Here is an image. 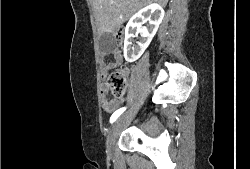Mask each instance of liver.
<instances>
[{"instance_id": "liver-1", "label": "liver", "mask_w": 250, "mask_h": 169, "mask_svg": "<svg viewBox=\"0 0 250 169\" xmlns=\"http://www.w3.org/2000/svg\"><path fill=\"white\" fill-rule=\"evenodd\" d=\"M100 34L113 32L128 20L129 16L141 6L150 2H159L166 6L168 0H91Z\"/></svg>"}]
</instances>
